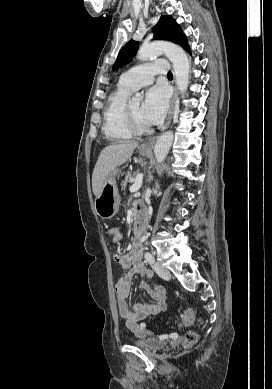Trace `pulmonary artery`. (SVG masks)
<instances>
[{"label":"pulmonary artery","instance_id":"pulmonary-artery-1","mask_svg":"<svg viewBox=\"0 0 272 389\" xmlns=\"http://www.w3.org/2000/svg\"><path fill=\"white\" fill-rule=\"evenodd\" d=\"M168 62L164 59L137 65L122 74L119 83L132 91L152 83L156 74L168 72Z\"/></svg>","mask_w":272,"mask_h":389}]
</instances>
